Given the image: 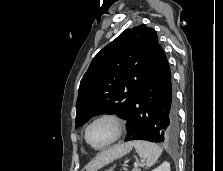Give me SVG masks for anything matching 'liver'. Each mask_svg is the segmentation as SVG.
Returning a JSON list of instances; mask_svg holds the SVG:
<instances>
[{"mask_svg": "<svg viewBox=\"0 0 223 171\" xmlns=\"http://www.w3.org/2000/svg\"><path fill=\"white\" fill-rule=\"evenodd\" d=\"M132 150V144L122 143L117 144L108 150L100 152L94 160H92L87 166L86 171H97L104 165L112 162L115 159L121 158Z\"/></svg>", "mask_w": 223, "mask_h": 171, "instance_id": "liver-1", "label": "liver"}]
</instances>
